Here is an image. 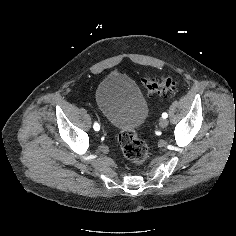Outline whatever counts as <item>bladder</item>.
<instances>
[{
	"label": "bladder",
	"mask_w": 236,
	"mask_h": 236,
	"mask_svg": "<svg viewBox=\"0 0 236 236\" xmlns=\"http://www.w3.org/2000/svg\"><path fill=\"white\" fill-rule=\"evenodd\" d=\"M95 100L102 114L120 131L138 129L149 113L140 89L121 73L110 74L98 84Z\"/></svg>",
	"instance_id": "bladder-1"
}]
</instances>
